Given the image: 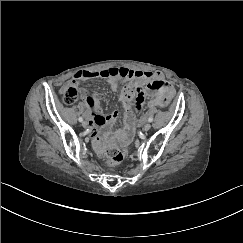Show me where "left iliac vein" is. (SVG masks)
I'll return each instance as SVG.
<instances>
[{"instance_id":"obj_1","label":"left iliac vein","mask_w":243,"mask_h":243,"mask_svg":"<svg viewBox=\"0 0 243 243\" xmlns=\"http://www.w3.org/2000/svg\"><path fill=\"white\" fill-rule=\"evenodd\" d=\"M150 128H151V124H150V123H146V124L143 126V130H144V131H148V130H150Z\"/></svg>"}]
</instances>
